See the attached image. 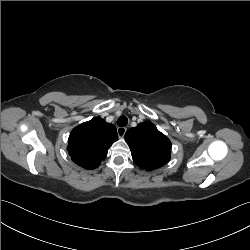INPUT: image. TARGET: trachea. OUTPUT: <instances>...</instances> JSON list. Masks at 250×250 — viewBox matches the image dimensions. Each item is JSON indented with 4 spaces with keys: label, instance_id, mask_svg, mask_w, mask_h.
Masks as SVG:
<instances>
[{
    "label": "trachea",
    "instance_id": "3493384b",
    "mask_svg": "<svg viewBox=\"0 0 250 250\" xmlns=\"http://www.w3.org/2000/svg\"><path fill=\"white\" fill-rule=\"evenodd\" d=\"M127 123H128V118L126 116H121L117 120V125L119 127H124L127 125Z\"/></svg>",
    "mask_w": 250,
    "mask_h": 250
}]
</instances>
